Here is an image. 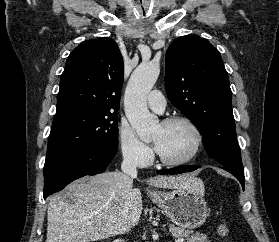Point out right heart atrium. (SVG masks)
I'll return each mask as SVG.
<instances>
[{"mask_svg":"<svg viewBox=\"0 0 279 242\" xmlns=\"http://www.w3.org/2000/svg\"><path fill=\"white\" fill-rule=\"evenodd\" d=\"M117 140L125 163L143 167L152 159L151 149L135 135L128 123L122 121L117 128Z\"/></svg>","mask_w":279,"mask_h":242,"instance_id":"1","label":"right heart atrium"}]
</instances>
